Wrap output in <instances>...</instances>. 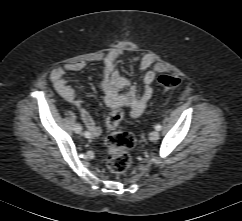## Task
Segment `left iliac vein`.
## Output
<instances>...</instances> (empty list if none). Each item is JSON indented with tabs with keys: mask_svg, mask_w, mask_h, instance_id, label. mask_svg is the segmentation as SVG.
<instances>
[{
	"mask_svg": "<svg viewBox=\"0 0 242 221\" xmlns=\"http://www.w3.org/2000/svg\"><path fill=\"white\" fill-rule=\"evenodd\" d=\"M149 138H150V140H152V141H156V140H158V138H159V132L158 131H152L150 134H149Z\"/></svg>",
	"mask_w": 242,
	"mask_h": 221,
	"instance_id": "left-iliac-vein-1",
	"label": "left iliac vein"
}]
</instances>
